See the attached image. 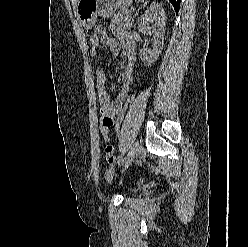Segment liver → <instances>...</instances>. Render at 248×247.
Listing matches in <instances>:
<instances>
[{"label":"liver","instance_id":"obj_1","mask_svg":"<svg viewBox=\"0 0 248 247\" xmlns=\"http://www.w3.org/2000/svg\"><path fill=\"white\" fill-rule=\"evenodd\" d=\"M79 0H72L74 6L76 5V3H78Z\"/></svg>","mask_w":248,"mask_h":247}]
</instances>
